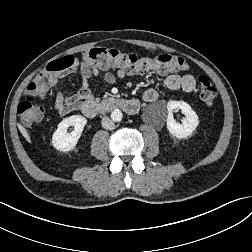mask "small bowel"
<instances>
[{
  "instance_id": "c3829d8e",
  "label": "small bowel",
  "mask_w": 252,
  "mask_h": 252,
  "mask_svg": "<svg viewBox=\"0 0 252 252\" xmlns=\"http://www.w3.org/2000/svg\"><path fill=\"white\" fill-rule=\"evenodd\" d=\"M67 74H77L81 79V85L72 96H66L61 91L56 92L54 106L60 115H66L74 110L81 109L84 103L96 100V95L90 88L89 83L93 77L100 76V71L98 68L88 65L84 61L74 60L73 66L62 75ZM131 74L123 70H119L117 75L107 71L103 74V80L108 84H115L119 79H124ZM56 84L57 81L54 85ZM164 84L169 90H182L189 93L195 90L196 80L190 74L177 75L168 73L164 76ZM158 97V92L153 88L147 89L143 94V100L148 103L156 101Z\"/></svg>"
}]
</instances>
